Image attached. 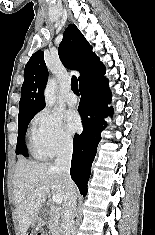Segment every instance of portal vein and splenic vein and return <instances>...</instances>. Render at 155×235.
<instances>
[{
	"label": "portal vein and splenic vein",
	"mask_w": 155,
	"mask_h": 235,
	"mask_svg": "<svg viewBox=\"0 0 155 235\" xmlns=\"http://www.w3.org/2000/svg\"><path fill=\"white\" fill-rule=\"evenodd\" d=\"M41 189H43L44 191H46L47 193L50 192V189L47 186H41ZM52 200L53 202H55L56 204H62L63 200L62 197L60 195H53L52 196Z\"/></svg>",
	"instance_id": "portal-vein-and-splenic-vein-1"
}]
</instances>
